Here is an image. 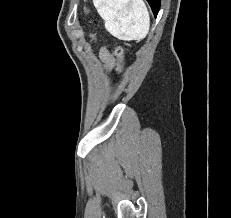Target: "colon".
Returning <instances> with one entry per match:
<instances>
[{"label":"colon","instance_id":"colon-1","mask_svg":"<svg viewBox=\"0 0 231 218\" xmlns=\"http://www.w3.org/2000/svg\"><path fill=\"white\" fill-rule=\"evenodd\" d=\"M114 53L119 60L118 68L121 69L123 67V55H124L123 48L121 46H116Z\"/></svg>","mask_w":231,"mask_h":218}]
</instances>
